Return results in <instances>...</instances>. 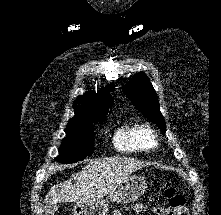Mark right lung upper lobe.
<instances>
[{
  "instance_id": "right-lung-upper-lobe-1",
  "label": "right lung upper lobe",
  "mask_w": 221,
  "mask_h": 215,
  "mask_svg": "<svg viewBox=\"0 0 221 215\" xmlns=\"http://www.w3.org/2000/svg\"><path fill=\"white\" fill-rule=\"evenodd\" d=\"M114 84L105 86L97 93H85L77 97L74 105V118L100 120L106 118L108 108L113 104L110 92L114 91Z\"/></svg>"
}]
</instances>
